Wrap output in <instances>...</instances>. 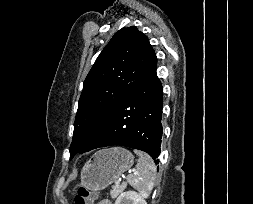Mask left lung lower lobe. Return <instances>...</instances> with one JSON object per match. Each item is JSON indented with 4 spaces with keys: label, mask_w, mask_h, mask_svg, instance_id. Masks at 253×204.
<instances>
[{
    "label": "left lung lower lobe",
    "mask_w": 253,
    "mask_h": 204,
    "mask_svg": "<svg viewBox=\"0 0 253 204\" xmlns=\"http://www.w3.org/2000/svg\"><path fill=\"white\" fill-rule=\"evenodd\" d=\"M156 68L155 55L139 84L110 115L82 153L120 145L145 151L158 164L163 130V88Z\"/></svg>",
    "instance_id": "obj_1"
}]
</instances>
